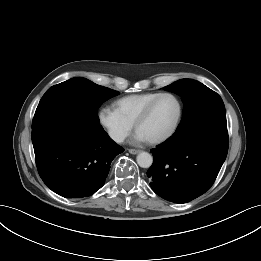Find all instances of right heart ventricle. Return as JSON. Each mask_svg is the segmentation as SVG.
I'll use <instances>...</instances> for the list:
<instances>
[{"mask_svg":"<svg viewBox=\"0 0 261 261\" xmlns=\"http://www.w3.org/2000/svg\"><path fill=\"white\" fill-rule=\"evenodd\" d=\"M159 92H148L121 97L114 101V109L127 121L134 124L144 107L155 98Z\"/></svg>","mask_w":261,"mask_h":261,"instance_id":"right-heart-ventricle-1","label":"right heart ventricle"}]
</instances>
